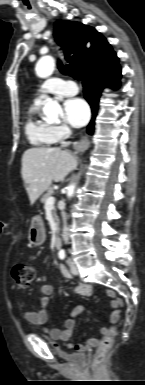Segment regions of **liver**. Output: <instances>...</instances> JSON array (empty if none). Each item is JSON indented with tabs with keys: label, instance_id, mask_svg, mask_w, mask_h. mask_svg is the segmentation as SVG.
Here are the masks:
<instances>
[{
	"label": "liver",
	"instance_id": "liver-1",
	"mask_svg": "<svg viewBox=\"0 0 145 385\" xmlns=\"http://www.w3.org/2000/svg\"><path fill=\"white\" fill-rule=\"evenodd\" d=\"M77 166V158L67 150L43 147L26 150L21 174L30 203L34 204L53 181H62Z\"/></svg>",
	"mask_w": 145,
	"mask_h": 385
}]
</instances>
